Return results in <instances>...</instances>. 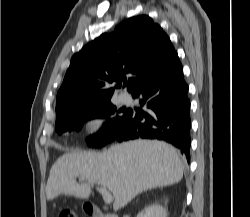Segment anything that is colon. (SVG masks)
<instances>
[{
    "label": "colon",
    "instance_id": "5ec220e1",
    "mask_svg": "<svg viewBox=\"0 0 250 217\" xmlns=\"http://www.w3.org/2000/svg\"><path fill=\"white\" fill-rule=\"evenodd\" d=\"M58 217H77V215L70 210H62L60 211V213L58 214Z\"/></svg>",
    "mask_w": 250,
    "mask_h": 217
}]
</instances>
